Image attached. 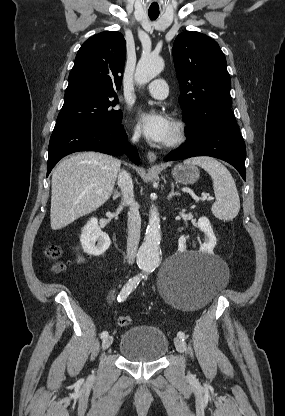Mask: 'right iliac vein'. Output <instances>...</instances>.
<instances>
[{
  "label": "right iliac vein",
  "instance_id": "obj_1",
  "mask_svg": "<svg viewBox=\"0 0 285 416\" xmlns=\"http://www.w3.org/2000/svg\"><path fill=\"white\" fill-rule=\"evenodd\" d=\"M112 342H113V337L112 336H107L102 341L101 349L105 350V349L109 348L111 346Z\"/></svg>",
  "mask_w": 285,
  "mask_h": 416
}]
</instances>
